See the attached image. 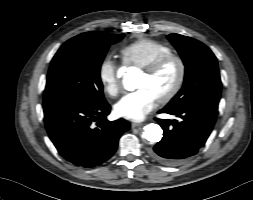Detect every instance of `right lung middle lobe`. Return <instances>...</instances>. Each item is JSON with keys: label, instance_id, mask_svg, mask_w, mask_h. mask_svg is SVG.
Wrapping results in <instances>:
<instances>
[{"label": "right lung middle lobe", "instance_id": "right-lung-middle-lobe-1", "mask_svg": "<svg viewBox=\"0 0 253 200\" xmlns=\"http://www.w3.org/2000/svg\"><path fill=\"white\" fill-rule=\"evenodd\" d=\"M123 37L112 34L98 39L80 34L66 41L51 61L43 104L96 105L105 101L100 67L109 46Z\"/></svg>", "mask_w": 253, "mask_h": 200}]
</instances>
